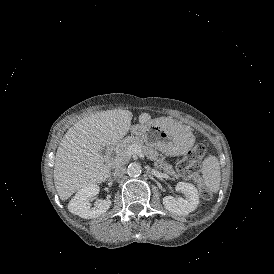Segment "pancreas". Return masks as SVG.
<instances>
[{"mask_svg":"<svg viewBox=\"0 0 274 274\" xmlns=\"http://www.w3.org/2000/svg\"><path fill=\"white\" fill-rule=\"evenodd\" d=\"M138 145L141 149V152L147 156L148 159L155 161L154 166L160 169H163L169 175H173L176 178L179 177L178 174L172 168V165L164 162L163 158H158L159 153L152 147L146 146L139 137L128 136L117 144L115 147V156L113 158L112 165L115 167L125 165L130 160V155H128V147L131 145Z\"/></svg>","mask_w":274,"mask_h":274,"instance_id":"obj_1","label":"pancreas"}]
</instances>
